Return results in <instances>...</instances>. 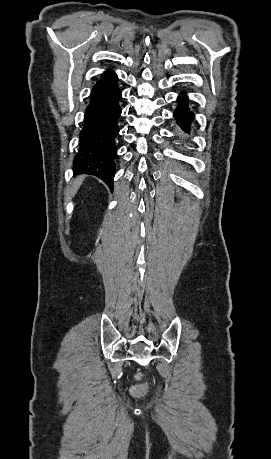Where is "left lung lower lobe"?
<instances>
[{"label": "left lung lower lobe", "mask_w": 271, "mask_h": 459, "mask_svg": "<svg viewBox=\"0 0 271 459\" xmlns=\"http://www.w3.org/2000/svg\"><path fill=\"white\" fill-rule=\"evenodd\" d=\"M177 101L179 102V105L174 111V117L181 129L189 133L190 123L194 118V114L188 108V97L185 93H181L178 96Z\"/></svg>", "instance_id": "1"}]
</instances>
